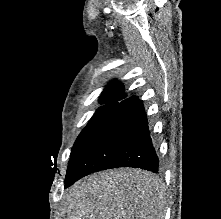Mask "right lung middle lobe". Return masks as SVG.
<instances>
[{
  "mask_svg": "<svg viewBox=\"0 0 221 219\" xmlns=\"http://www.w3.org/2000/svg\"><path fill=\"white\" fill-rule=\"evenodd\" d=\"M104 106L100 107L91 118L87 126L78 136L74 147L72 148L71 155L80 147V145L88 138L91 132L97 127V125L104 119V117L118 104L116 102H104Z\"/></svg>",
  "mask_w": 221,
  "mask_h": 219,
  "instance_id": "right-lung-middle-lobe-1",
  "label": "right lung middle lobe"
}]
</instances>
